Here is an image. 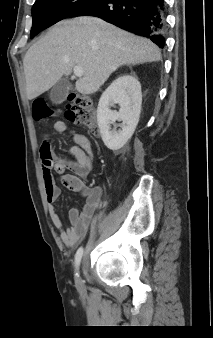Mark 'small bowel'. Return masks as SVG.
I'll return each mask as SVG.
<instances>
[{
	"label": "small bowel",
	"instance_id": "small-bowel-1",
	"mask_svg": "<svg viewBox=\"0 0 213 338\" xmlns=\"http://www.w3.org/2000/svg\"><path fill=\"white\" fill-rule=\"evenodd\" d=\"M53 131L64 133L67 126L62 121L53 124ZM74 145L70 148L71 158L56 153L50 146L49 132H45L40 144L41 172L45 196L49 204V213L53 225L60 230V239L67 247H74L85 235L89 225L95 220L97 210L102 203V192L97 186H88L84 179L92 170L93 153L88 138L71 132ZM71 172H65L66 169ZM53 170L59 173L58 182L84 199L82 209L69 212L70 225L64 228L54 203L61 194V188L55 179Z\"/></svg>",
	"mask_w": 213,
	"mask_h": 338
}]
</instances>
